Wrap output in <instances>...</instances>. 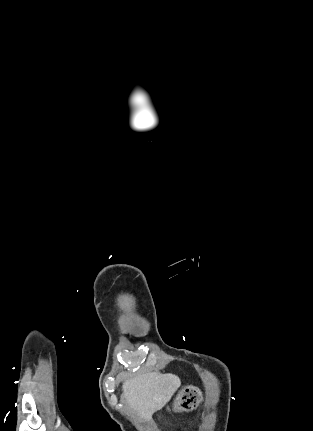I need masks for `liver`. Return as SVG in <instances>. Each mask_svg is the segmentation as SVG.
Masks as SVG:
<instances>
[{"label":"liver","instance_id":"6515ba94","mask_svg":"<svg viewBox=\"0 0 313 431\" xmlns=\"http://www.w3.org/2000/svg\"><path fill=\"white\" fill-rule=\"evenodd\" d=\"M181 385L178 376L148 372L123 383V397L143 419L149 421L162 409Z\"/></svg>","mask_w":313,"mask_h":431}]
</instances>
